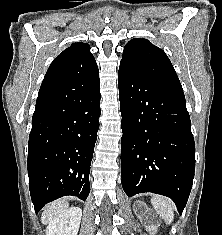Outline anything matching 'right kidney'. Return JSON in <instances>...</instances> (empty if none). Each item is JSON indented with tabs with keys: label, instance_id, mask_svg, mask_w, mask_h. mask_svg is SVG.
Returning a JSON list of instances; mask_svg holds the SVG:
<instances>
[{
	"label": "right kidney",
	"instance_id": "right-kidney-1",
	"mask_svg": "<svg viewBox=\"0 0 222 235\" xmlns=\"http://www.w3.org/2000/svg\"><path fill=\"white\" fill-rule=\"evenodd\" d=\"M82 217L80 208H70L55 216L48 224L46 235H77Z\"/></svg>",
	"mask_w": 222,
	"mask_h": 235
}]
</instances>
